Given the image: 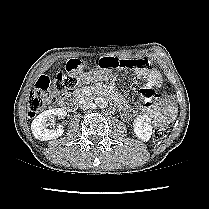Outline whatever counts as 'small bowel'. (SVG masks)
Instances as JSON below:
<instances>
[{
    "instance_id": "small-bowel-1",
    "label": "small bowel",
    "mask_w": 209,
    "mask_h": 209,
    "mask_svg": "<svg viewBox=\"0 0 209 209\" xmlns=\"http://www.w3.org/2000/svg\"><path fill=\"white\" fill-rule=\"evenodd\" d=\"M135 74L147 81V86L141 91V113L150 116L158 127L167 125L175 117L177 109L170 97H160L155 92L163 82L160 72L150 67L141 66L135 68ZM109 76V69L100 67L94 74L81 71L80 82L82 84H89L93 80L105 81ZM152 99H156V102H152Z\"/></svg>"
}]
</instances>
